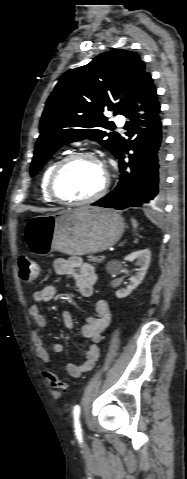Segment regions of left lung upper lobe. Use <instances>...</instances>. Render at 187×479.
<instances>
[{"label":"left lung upper lobe","instance_id":"left-lung-upper-lobe-1","mask_svg":"<svg viewBox=\"0 0 187 479\" xmlns=\"http://www.w3.org/2000/svg\"><path fill=\"white\" fill-rule=\"evenodd\" d=\"M149 76L139 55L120 49L102 53L89 64L65 73L46 102L31 175L62 145L87 137L116 156L120 136L104 131L110 123L103 111L124 115Z\"/></svg>","mask_w":187,"mask_h":479}]
</instances>
